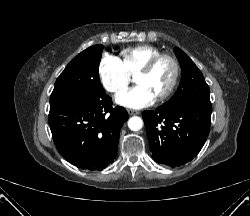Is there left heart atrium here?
I'll use <instances>...</instances> for the list:
<instances>
[{"label":"left heart atrium","instance_id":"39dd6f15","mask_svg":"<svg viewBox=\"0 0 250 216\" xmlns=\"http://www.w3.org/2000/svg\"><path fill=\"white\" fill-rule=\"evenodd\" d=\"M154 99L153 93L146 86L139 84L121 93L116 98V102L127 108L141 109L149 106Z\"/></svg>","mask_w":250,"mask_h":216}]
</instances>
